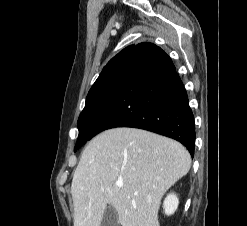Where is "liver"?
Returning <instances> with one entry per match:
<instances>
[{
	"instance_id": "obj_1",
	"label": "liver",
	"mask_w": 247,
	"mask_h": 226,
	"mask_svg": "<svg viewBox=\"0 0 247 226\" xmlns=\"http://www.w3.org/2000/svg\"><path fill=\"white\" fill-rule=\"evenodd\" d=\"M190 166L175 140L135 128L102 132L85 147L72 179L74 226H100L107 205L122 226H159L163 195Z\"/></svg>"
}]
</instances>
